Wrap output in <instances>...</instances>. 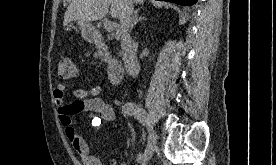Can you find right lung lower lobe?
Masks as SVG:
<instances>
[{
    "label": "right lung lower lobe",
    "instance_id": "1",
    "mask_svg": "<svg viewBox=\"0 0 276 165\" xmlns=\"http://www.w3.org/2000/svg\"><path fill=\"white\" fill-rule=\"evenodd\" d=\"M160 1L173 2V3L184 5V6H190L197 2V0H160Z\"/></svg>",
    "mask_w": 276,
    "mask_h": 165
}]
</instances>
